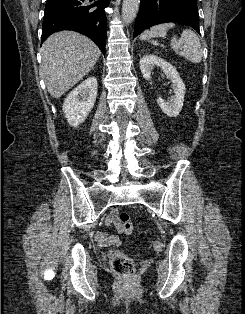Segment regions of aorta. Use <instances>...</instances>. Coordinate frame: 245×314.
<instances>
[{"mask_svg": "<svg viewBox=\"0 0 245 314\" xmlns=\"http://www.w3.org/2000/svg\"><path fill=\"white\" fill-rule=\"evenodd\" d=\"M140 0H123L122 20L125 24H130L137 15Z\"/></svg>", "mask_w": 245, "mask_h": 314, "instance_id": "aorta-1", "label": "aorta"}]
</instances>
